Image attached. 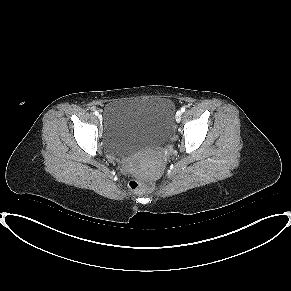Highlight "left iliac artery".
Returning <instances> with one entry per match:
<instances>
[{
	"label": "left iliac artery",
	"instance_id": "44dca946",
	"mask_svg": "<svg viewBox=\"0 0 291 291\" xmlns=\"http://www.w3.org/2000/svg\"><path fill=\"white\" fill-rule=\"evenodd\" d=\"M181 112H182V113L185 112V107H182V108H181Z\"/></svg>",
	"mask_w": 291,
	"mask_h": 291
}]
</instances>
